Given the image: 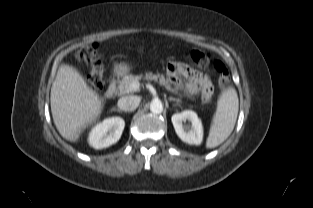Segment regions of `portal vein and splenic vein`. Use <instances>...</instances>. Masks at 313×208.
<instances>
[{
    "instance_id": "portal-vein-and-splenic-vein-1",
    "label": "portal vein and splenic vein",
    "mask_w": 313,
    "mask_h": 208,
    "mask_svg": "<svg viewBox=\"0 0 313 208\" xmlns=\"http://www.w3.org/2000/svg\"><path fill=\"white\" fill-rule=\"evenodd\" d=\"M139 86H140V84H139L138 82H133V83L131 84V88L134 89V90L138 89Z\"/></svg>"
}]
</instances>
